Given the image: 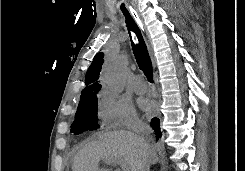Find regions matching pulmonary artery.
<instances>
[{
	"mask_svg": "<svg viewBox=\"0 0 245 171\" xmlns=\"http://www.w3.org/2000/svg\"><path fill=\"white\" fill-rule=\"evenodd\" d=\"M133 89L137 94H143L147 91V84L143 81L142 77L138 76L135 78Z\"/></svg>",
	"mask_w": 245,
	"mask_h": 171,
	"instance_id": "1",
	"label": "pulmonary artery"
}]
</instances>
